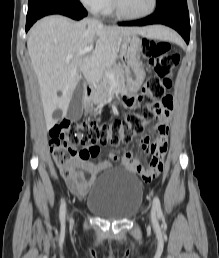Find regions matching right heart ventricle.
Here are the masks:
<instances>
[{"label": "right heart ventricle", "instance_id": "e07e8e85", "mask_svg": "<svg viewBox=\"0 0 219 258\" xmlns=\"http://www.w3.org/2000/svg\"><path fill=\"white\" fill-rule=\"evenodd\" d=\"M105 13L109 14L113 11V8H112V2L111 0H109V3L108 5L106 6V8L103 10Z\"/></svg>", "mask_w": 219, "mask_h": 258}]
</instances>
